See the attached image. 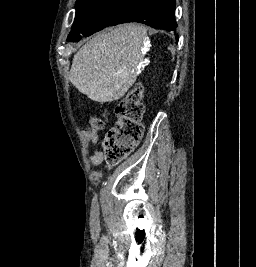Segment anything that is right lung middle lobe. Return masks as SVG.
I'll return each instance as SVG.
<instances>
[{"instance_id": "right-lung-middle-lobe-1", "label": "right lung middle lobe", "mask_w": 256, "mask_h": 267, "mask_svg": "<svg viewBox=\"0 0 256 267\" xmlns=\"http://www.w3.org/2000/svg\"><path fill=\"white\" fill-rule=\"evenodd\" d=\"M139 0H77L76 18L68 35L69 42H78L116 22Z\"/></svg>"}]
</instances>
